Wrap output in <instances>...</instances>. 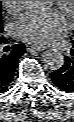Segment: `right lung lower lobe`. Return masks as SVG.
<instances>
[{"instance_id": "1", "label": "right lung lower lobe", "mask_w": 74, "mask_h": 122, "mask_svg": "<svg viewBox=\"0 0 74 122\" xmlns=\"http://www.w3.org/2000/svg\"><path fill=\"white\" fill-rule=\"evenodd\" d=\"M4 38L0 39V93L8 89L16 69L19 58L25 53L23 44H16L9 48ZM8 48V50H5ZM8 51L7 53H3Z\"/></svg>"}]
</instances>
